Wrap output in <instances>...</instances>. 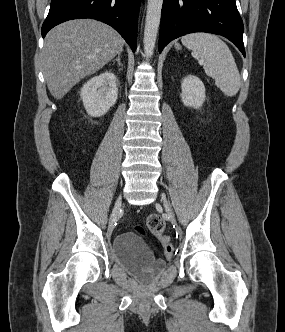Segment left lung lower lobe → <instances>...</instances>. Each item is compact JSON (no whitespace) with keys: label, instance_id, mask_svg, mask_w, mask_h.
Returning a JSON list of instances; mask_svg holds the SVG:
<instances>
[{"label":"left lung lower lobe","instance_id":"1","mask_svg":"<svg viewBox=\"0 0 285 332\" xmlns=\"http://www.w3.org/2000/svg\"><path fill=\"white\" fill-rule=\"evenodd\" d=\"M243 30L235 0H163L159 52L175 38L209 32L226 37L245 56Z\"/></svg>","mask_w":285,"mask_h":332}]
</instances>
